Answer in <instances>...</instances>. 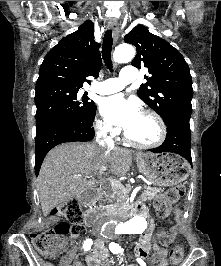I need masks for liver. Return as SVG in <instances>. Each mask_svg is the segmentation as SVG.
I'll list each match as a JSON object with an SVG mask.
<instances>
[{"instance_id": "6515ba94", "label": "liver", "mask_w": 221, "mask_h": 266, "mask_svg": "<svg viewBox=\"0 0 221 266\" xmlns=\"http://www.w3.org/2000/svg\"><path fill=\"white\" fill-rule=\"evenodd\" d=\"M132 160L129 150L103 149L95 143L56 146L46 155L37 179L43 215L46 217L60 203L83 193L90 185L84 176L108 166L113 175L121 177L129 172Z\"/></svg>"}]
</instances>
